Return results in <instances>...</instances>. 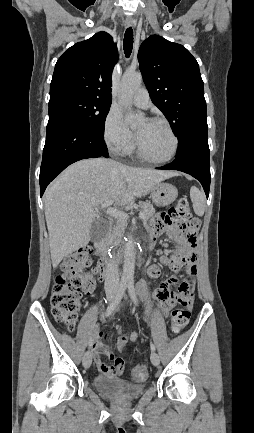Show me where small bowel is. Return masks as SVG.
<instances>
[{
    "instance_id": "1",
    "label": "small bowel",
    "mask_w": 254,
    "mask_h": 433,
    "mask_svg": "<svg viewBox=\"0 0 254 433\" xmlns=\"http://www.w3.org/2000/svg\"><path fill=\"white\" fill-rule=\"evenodd\" d=\"M166 230L169 235L179 243V250L172 256H162L160 261L163 265L169 267L174 273H178L183 267L186 270L188 279L178 282L176 277H172L160 284L154 291L152 298L155 305L164 313H167L171 307L177 302L178 297H187L193 300L194 283L193 278L196 275V259L192 250V245L188 240H185L181 231L173 226L165 225L160 217L157 216L152 220L148 230L149 239L154 240L163 230ZM161 274L159 265H151L148 270V276L152 279L157 278ZM178 285V292L175 294L172 291V286ZM109 333L97 332L92 341L94 349V361L98 370L106 377L115 378L123 374L125 370L124 361L116 357L111 348L105 344V340L109 338ZM140 336L139 332L128 331L126 333L118 332V348L124 350L128 340L135 342ZM102 356L107 357L111 364L106 363Z\"/></svg>"
}]
</instances>
